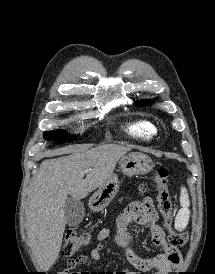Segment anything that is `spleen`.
<instances>
[{
    "mask_svg": "<svg viewBox=\"0 0 215 274\" xmlns=\"http://www.w3.org/2000/svg\"><path fill=\"white\" fill-rule=\"evenodd\" d=\"M180 204L181 209L179 210L176 219H175V228L177 230H182L188 223L189 220V199L187 191L184 187L181 188V196H180Z\"/></svg>",
    "mask_w": 215,
    "mask_h": 274,
    "instance_id": "1",
    "label": "spleen"
}]
</instances>
